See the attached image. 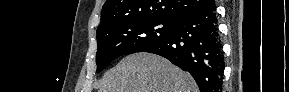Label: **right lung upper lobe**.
I'll return each instance as SVG.
<instances>
[{
  "label": "right lung upper lobe",
  "mask_w": 289,
  "mask_h": 92,
  "mask_svg": "<svg viewBox=\"0 0 289 92\" xmlns=\"http://www.w3.org/2000/svg\"><path fill=\"white\" fill-rule=\"evenodd\" d=\"M214 4V0H107L97 32L116 23L145 18L176 21Z\"/></svg>",
  "instance_id": "cb5924a9"
}]
</instances>
